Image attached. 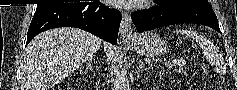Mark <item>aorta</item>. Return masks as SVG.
I'll list each match as a JSON object with an SVG mask.
<instances>
[{
	"label": "aorta",
	"instance_id": "obj_1",
	"mask_svg": "<svg viewBox=\"0 0 237 90\" xmlns=\"http://www.w3.org/2000/svg\"><path fill=\"white\" fill-rule=\"evenodd\" d=\"M114 90H129V80L123 70H121V66H118L115 72Z\"/></svg>",
	"mask_w": 237,
	"mask_h": 90
}]
</instances>
